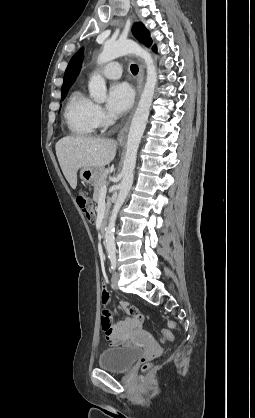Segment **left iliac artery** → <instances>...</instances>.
<instances>
[{
  "label": "left iliac artery",
  "mask_w": 255,
  "mask_h": 418,
  "mask_svg": "<svg viewBox=\"0 0 255 418\" xmlns=\"http://www.w3.org/2000/svg\"><path fill=\"white\" fill-rule=\"evenodd\" d=\"M111 269L114 271L116 269V257L114 255L110 256Z\"/></svg>",
  "instance_id": "obj_1"
}]
</instances>
